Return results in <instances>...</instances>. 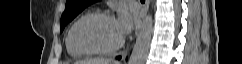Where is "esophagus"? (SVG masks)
I'll list each match as a JSON object with an SVG mask.
<instances>
[{
    "label": "esophagus",
    "instance_id": "esophagus-1",
    "mask_svg": "<svg viewBox=\"0 0 242 64\" xmlns=\"http://www.w3.org/2000/svg\"><path fill=\"white\" fill-rule=\"evenodd\" d=\"M148 7H149V0H146L143 5V18H145L146 14H147Z\"/></svg>",
    "mask_w": 242,
    "mask_h": 64
}]
</instances>
